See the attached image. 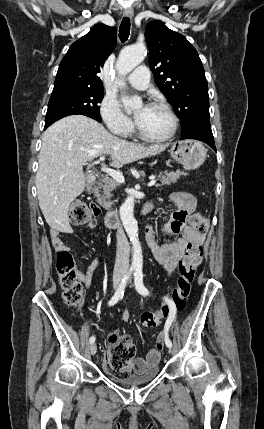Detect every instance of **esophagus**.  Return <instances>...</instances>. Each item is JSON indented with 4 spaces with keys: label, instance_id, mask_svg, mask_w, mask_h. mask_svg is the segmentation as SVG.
Wrapping results in <instances>:
<instances>
[{
    "label": "esophagus",
    "instance_id": "34e87169",
    "mask_svg": "<svg viewBox=\"0 0 264 429\" xmlns=\"http://www.w3.org/2000/svg\"><path fill=\"white\" fill-rule=\"evenodd\" d=\"M124 16L128 18H132L134 16V11L132 8H127L124 10Z\"/></svg>",
    "mask_w": 264,
    "mask_h": 429
}]
</instances>
